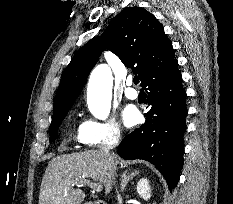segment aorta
Wrapping results in <instances>:
<instances>
[{"instance_id": "aorta-1", "label": "aorta", "mask_w": 233, "mask_h": 204, "mask_svg": "<svg viewBox=\"0 0 233 204\" xmlns=\"http://www.w3.org/2000/svg\"><path fill=\"white\" fill-rule=\"evenodd\" d=\"M113 77L105 64L96 66L89 78L87 104L92 115L100 120L108 118L111 109Z\"/></svg>"}]
</instances>
